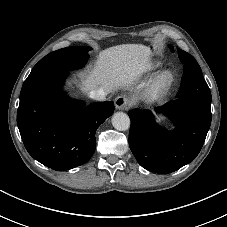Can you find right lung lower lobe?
Returning <instances> with one entry per match:
<instances>
[{
	"label": "right lung lower lobe",
	"mask_w": 227,
	"mask_h": 227,
	"mask_svg": "<svg viewBox=\"0 0 227 227\" xmlns=\"http://www.w3.org/2000/svg\"><path fill=\"white\" fill-rule=\"evenodd\" d=\"M69 72H54L23 84L17 125L25 148L43 165L65 171L86 163L96 148L97 128L114 103L56 99ZM65 96V93L61 95Z\"/></svg>",
	"instance_id": "right-lung-lower-lobe-1"
}]
</instances>
